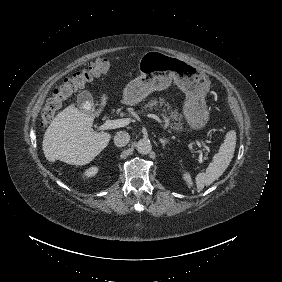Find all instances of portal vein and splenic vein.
Wrapping results in <instances>:
<instances>
[{
	"instance_id": "portal-vein-and-splenic-vein-1",
	"label": "portal vein and splenic vein",
	"mask_w": 282,
	"mask_h": 282,
	"mask_svg": "<svg viewBox=\"0 0 282 282\" xmlns=\"http://www.w3.org/2000/svg\"><path fill=\"white\" fill-rule=\"evenodd\" d=\"M147 117H149L151 119L152 122H156L159 123L160 125H162V127L171 132L170 129L167 128V124L164 123L162 118H159L158 116L154 117L153 113H149L146 115ZM134 122V117L132 116H128L127 118H122V119H116V120H110L107 121L102 128L104 129H116V128H120V127H125L128 126L129 124ZM194 143H196L197 148L202 149L203 151H206V153L208 155H210L211 160H214V155H215V151H214V147L209 145L207 142L205 141H200L199 139H195ZM207 149V150H206Z\"/></svg>"
}]
</instances>
